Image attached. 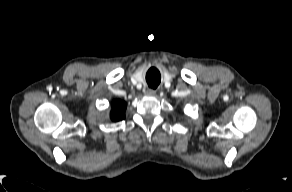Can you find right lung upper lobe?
<instances>
[{"instance_id": "right-lung-upper-lobe-1", "label": "right lung upper lobe", "mask_w": 292, "mask_h": 192, "mask_svg": "<svg viewBox=\"0 0 292 192\" xmlns=\"http://www.w3.org/2000/svg\"><path fill=\"white\" fill-rule=\"evenodd\" d=\"M111 113L110 118L112 121H120L125 118L126 103L121 100H113L111 103Z\"/></svg>"}]
</instances>
